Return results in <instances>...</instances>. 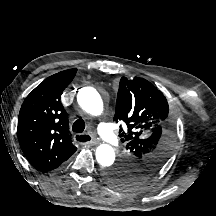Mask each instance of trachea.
<instances>
[{
	"instance_id": "3493384b",
	"label": "trachea",
	"mask_w": 216,
	"mask_h": 216,
	"mask_svg": "<svg viewBox=\"0 0 216 216\" xmlns=\"http://www.w3.org/2000/svg\"><path fill=\"white\" fill-rule=\"evenodd\" d=\"M85 129V122L82 119H78L73 123L72 126V130L76 133H82ZM86 136H80L77 138V140L81 141V142H85L87 141V139L85 138Z\"/></svg>"
}]
</instances>
